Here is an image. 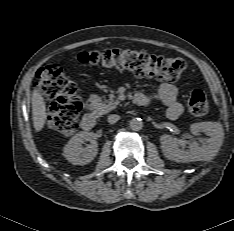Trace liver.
<instances>
[{
	"label": "liver",
	"mask_w": 234,
	"mask_h": 231,
	"mask_svg": "<svg viewBox=\"0 0 234 231\" xmlns=\"http://www.w3.org/2000/svg\"><path fill=\"white\" fill-rule=\"evenodd\" d=\"M47 117L46 104L39 90L35 89L32 96V120L36 132L43 129Z\"/></svg>",
	"instance_id": "obj_1"
}]
</instances>
